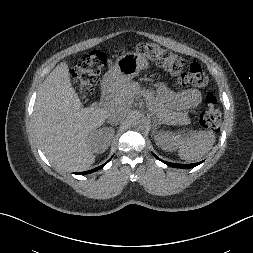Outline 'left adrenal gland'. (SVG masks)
I'll list each match as a JSON object with an SVG mask.
<instances>
[{"label": "left adrenal gland", "mask_w": 253, "mask_h": 253, "mask_svg": "<svg viewBox=\"0 0 253 253\" xmlns=\"http://www.w3.org/2000/svg\"><path fill=\"white\" fill-rule=\"evenodd\" d=\"M155 122V126H157V124H160L156 119L154 120Z\"/></svg>", "instance_id": "1"}]
</instances>
